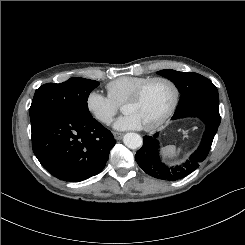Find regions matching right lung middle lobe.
Wrapping results in <instances>:
<instances>
[{
	"label": "right lung middle lobe",
	"instance_id": "dd1d6c3e",
	"mask_svg": "<svg viewBox=\"0 0 245 245\" xmlns=\"http://www.w3.org/2000/svg\"><path fill=\"white\" fill-rule=\"evenodd\" d=\"M99 82L70 78L63 83H47L38 88L29 109L30 120L42 113L53 112L69 118L91 116L87 100Z\"/></svg>",
	"mask_w": 245,
	"mask_h": 245
}]
</instances>
